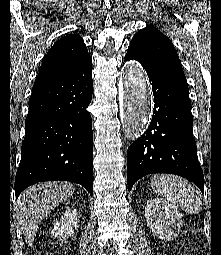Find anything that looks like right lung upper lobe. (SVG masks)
Returning <instances> with one entry per match:
<instances>
[{"label":"right lung upper lobe","instance_id":"obj_1","mask_svg":"<svg viewBox=\"0 0 221 255\" xmlns=\"http://www.w3.org/2000/svg\"><path fill=\"white\" fill-rule=\"evenodd\" d=\"M89 58L90 55L81 36L68 34L55 42L48 51L35 82L66 73Z\"/></svg>","mask_w":221,"mask_h":255}]
</instances>
